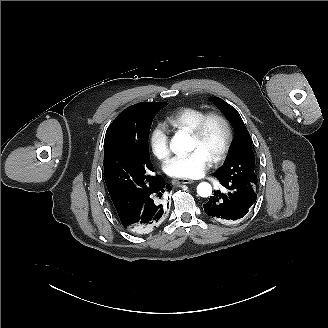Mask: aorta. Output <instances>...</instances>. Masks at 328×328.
Returning <instances> with one entry per match:
<instances>
[{"instance_id":"obj_1","label":"aorta","mask_w":328,"mask_h":328,"mask_svg":"<svg viewBox=\"0 0 328 328\" xmlns=\"http://www.w3.org/2000/svg\"><path fill=\"white\" fill-rule=\"evenodd\" d=\"M170 149L175 154L191 152L194 149L193 140L189 134L179 131L172 138ZM197 193L201 197H209L212 194V187L209 183L202 182L197 186Z\"/></svg>"}]
</instances>
